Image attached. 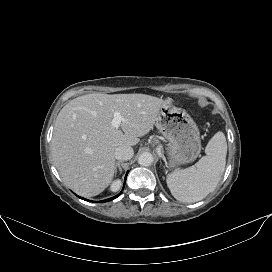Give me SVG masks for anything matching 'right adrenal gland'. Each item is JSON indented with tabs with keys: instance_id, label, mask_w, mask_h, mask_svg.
Returning a JSON list of instances; mask_svg holds the SVG:
<instances>
[{
	"instance_id": "obj_1",
	"label": "right adrenal gland",
	"mask_w": 272,
	"mask_h": 272,
	"mask_svg": "<svg viewBox=\"0 0 272 272\" xmlns=\"http://www.w3.org/2000/svg\"><path fill=\"white\" fill-rule=\"evenodd\" d=\"M123 163V161H118L116 162V172H117V169L119 170V172L121 173L122 172V169H121V164Z\"/></svg>"
}]
</instances>
